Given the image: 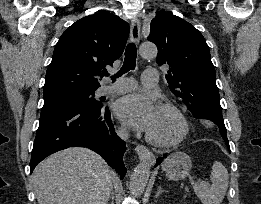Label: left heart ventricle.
<instances>
[{
	"instance_id": "b2bd125f",
	"label": "left heart ventricle",
	"mask_w": 261,
	"mask_h": 204,
	"mask_svg": "<svg viewBox=\"0 0 261 204\" xmlns=\"http://www.w3.org/2000/svg\"><path fill=\"white\" fill-rule=\"evenodd\" d=\"M179 130L176 116L169 110L157 107L153 123L147 132L158 140H170L177 136Z\"/></svg>"
}]
</instances>
